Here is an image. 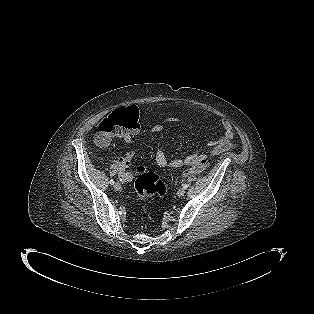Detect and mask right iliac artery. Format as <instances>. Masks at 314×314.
<instances>
[{
	"instance_id": "right-iliac-artery-1",
	"label": "right iliac artery",
	"mask_w": 314,
	"mask_h": 314,
	"mask_svg": "<svg viewBox=\"0 0 314 314\" xmlns=\"http://www.w3.org/2000/svg\"><path fill=\"white\" fill-rule=\"evenodd\" d=\"M110 184H111V185L114 184V180H113V179L110 180Z\"/></svg>"
}]
</instances>
